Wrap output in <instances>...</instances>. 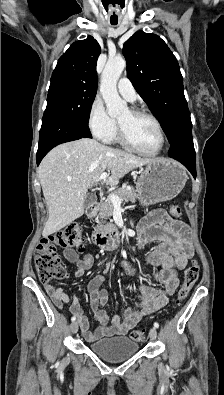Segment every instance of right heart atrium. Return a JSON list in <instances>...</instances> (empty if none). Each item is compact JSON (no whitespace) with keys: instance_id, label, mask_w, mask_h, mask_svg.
<instances>
[{"instance_id":"right-heart-atrium-1","label":"right heart atrium","mask_w":224,"mask_h":395,"mask_svg":"<svg viewBox=\"0 0 224 395\" xmlns=\"http://www.w3.org/2000/svg\"><path fill=\"white\" fill-rule=\"evenodd\" d=\"M87 123L93 136L100 140L108 139L116 130V121L106 111L103 101L96 97L88 110Z\"/></svg>"}]
</instances>
